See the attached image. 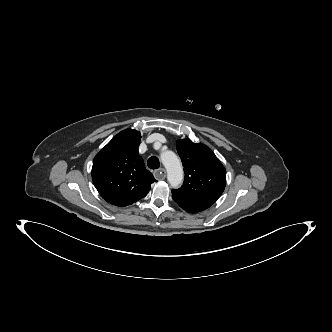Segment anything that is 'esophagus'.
Masks as SVG:
<instances>
[{"label":"esophagus","mask_w":332,"mask_h":332,"mask_svg":"<svg viewBox=\"0 0 332 332\" xmlns=\"http://www.w3.org/2000/svg\"><path fill=\"white\" fill-rule=\"evenodd\" d=\"M154 176L158 180H164L166 178V170L164 168L156 170L154 172Z\"/></svg>","instance_id":"1"}]
</instances>
